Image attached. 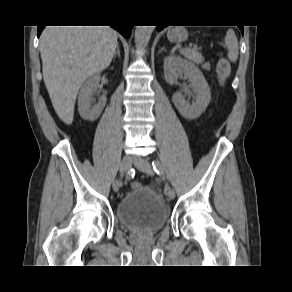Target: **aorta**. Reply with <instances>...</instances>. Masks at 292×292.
Segmentation results:
<instances>
[{"label":"aorta","mask_w":292,"mask_h":292,"mask_svg":"<svg viewBox=\"0 0 292 292\" xmlns=\"http://www.w3.org/2000/svg\"><path fill=\"white\" fill-rule=\"evenodd\" d=\"M153 31L154 26H136L134 34L135 43L141 47L147 46Z\"/></svg>","instance_id":"762f6f07"}]
</instances>
